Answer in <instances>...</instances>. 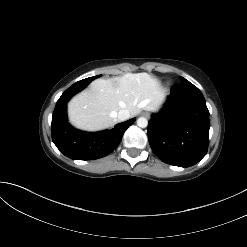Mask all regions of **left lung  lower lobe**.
<instances>
[{
  "label": "left lung lower lobe",
  "instance_id": "0a47b994",
  "mask_svg": "<svg viewBox=\"0 0 247 247\" xmlns=\"http://www.w3.org/2000/svg\"><path fill=\"white\" fill-rule=\"evenodd\" d=\"M209 111L201 91L188 82L171 90L164 108L148 123L153 152L165 163L189 167L207 153Z\"/></svg>",
  "mask_w": 247,
  "mask_h": 247
}]
</instances>
